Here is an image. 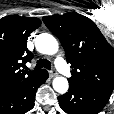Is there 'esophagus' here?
Segmentation results:
<instances>
[{
  "label": "esophagus",
  "mask_w": 114,
  "mask_h": 114,
  "mask_svg": "<svg viewBox=\"0 0 114 114\" xmlns=\"http://www.w3.org/2000/svg\"><path fill=\"white\" fill-rule=\"evenodd\" d=\"M49 75L51 78H53L57 75V72L54 69H52L51 71H49Z\"/></svg>",
  "instance_id": "esophagus-1"
}]
</instances>
